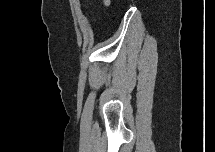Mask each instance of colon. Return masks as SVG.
<instances>
[{"instance_id":"5ec220e1","label":"colon","mask_w":215,"mask_h":152,"mask_svg":"<svg viewBox=\"0 0 215 152\" xmlns=\"http://www.w3.org/2000/svg\"><path fill=\"white\" fill-rule=\"evenodd\" d=\"M110 0H103V4L105 7H108L110 5Z\"/></svg>"}]
</instances>
